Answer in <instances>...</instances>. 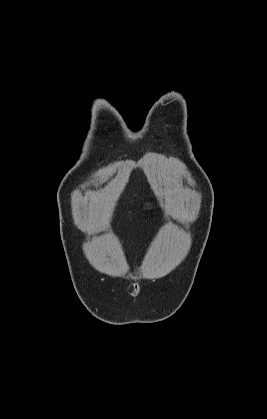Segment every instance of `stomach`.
Returning a JSON list of instances; mask_svg holds the SVG:
<instances>
[{
    "label": "stomach",
    "mask_w": 267,
    "mask_h": 419,
    "mask_svg": "<svg viewBox=\"0 0 267 419\" xmlns=\"http://www.w3.org/2000/svg\"><path fill=\"white\" fill-rule=\"evenodd\" d=\"M152 208V206H149V209H151Z\"/></svg>",
    "instance_id": "1"
}]
</instances>
